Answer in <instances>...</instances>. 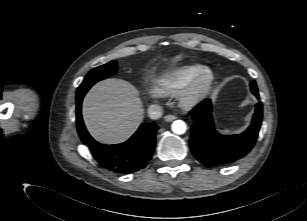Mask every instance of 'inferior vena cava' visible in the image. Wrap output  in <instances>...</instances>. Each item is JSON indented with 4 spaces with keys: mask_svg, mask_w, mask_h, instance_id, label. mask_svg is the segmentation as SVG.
<instances>
[{
    "mask_svg": "<svg viewBox=\"0 0 307 221\" xmlns=\"http://www.w3.org/2000/svg\"><path fill=\"white\" fill-rule=\"evenodd\" d=\"M163 109L158 104H152L148 108V114L151 119H159L162 116Z\"/></svg>",
    "mask_w": 307,
    "mask_h": 221,
    "instance_id": "1",
    "label": "inferior vena cava"
}]
</instances>
